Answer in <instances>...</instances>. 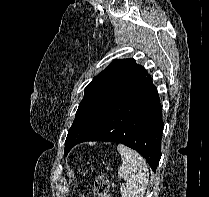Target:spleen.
<instances>
[{
    "mask_svg": "<svg viewBox=\"0 0 209 197\" xmlns=\"http://www.w3.org/2000/svg\"><path fill=\"white\" fill-rule=\"evenodd\" d=\"M122 158L118 177L125 181L122 197H143L149 183V172L145 160L135 150L122 144L117 146Z\"/></svg>",
    "mask_w": 209,
    "mask_h": 197,
    "instance_id": "spleen-1",
    "label": "spleen"
}]
</instances>
